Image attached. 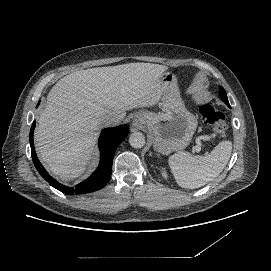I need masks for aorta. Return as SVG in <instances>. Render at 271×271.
Returning a JSON list of instances; mask_svg holds the SVG:
<instances>
[{
    "mask_svg": "<svg viewBox=\"0 0 271 271\" xmlns=\"http://www.w3.org/2000/svg\"><path fill=\"white\" fill-rule=\"evenodd\" d=\"M129 143L133 148H142L145 145V136L141 132H133L129 137Z\"/></svg>",
    "mask_w": 271,
    "mask_h": 271,
    "instance_id": "1",
    "label": "aorta"
}]
</instances>
